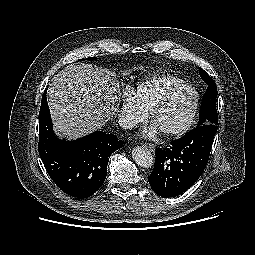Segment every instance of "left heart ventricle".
Returning a JSON list of instances; mask_svg holds the SVG:
<instances>
[{"instance_id":"left-heart-ventricle-1","label":"left heart ventricle","mask_w":255,"mask_h":255,"mask_svg":"<svg viewBox=\"0 0 255 255\" xmlns=\"http://www.w3.org/2000/svg\"><path fill=\"white\" fill-rule=\"evenodd\" d=\"M193 92H185L177 97L155 119L154 124L159 131L176 128L189 117L193 106Z\"/></svg>"}]
</instances>
